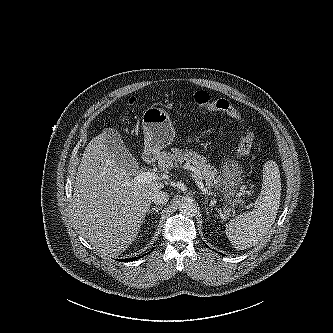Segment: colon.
Wrapping results in <instances>:
<instances>
[{
  "mask_svg": "<svg viewBox=\"0 0 333 333\" xmlns=\"http://www.w3.org/2000/svg\"><path fill=\"white\" fill-rule=\"evenodd\" d=\"M194 101L196 105L202 108H206L211 111H219L227 114L231 118L242 123V118L239 112L231 104L230 101L223 98H213L206 91L200 90L194 94ZM254 142L253 133L243 127L242 134L239 143V155L242 158L250 156Z\"/></svg>",
  "mask_w": 333,
  "mask_h": 333,
  "instance_id": "1",
  "label": "colon"
}]
</instances>
